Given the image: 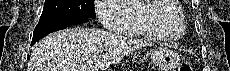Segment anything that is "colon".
Returning a JSON list of instances; mask_svg holds the SVG:
<instances>
[{
    "mask_svg": "<svg viewBox=\"0 0 230 71\" xmlns=\"http://www.w3.org/2000/svg\"><path fill=\"white\" fill-rule=\"evenodd\" d=\"M192 67L188 64H182L179 66L178 71H192Z\"/></svg>",
    "mask_w": 230,
    "mask_h": 71,
    "instance_id": "1",
    "label": "colon"
}]
</instances>
